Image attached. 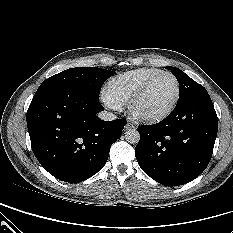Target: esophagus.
Segmentation results:
<instances>
[{"label": "esophagus", "instance_id": "esophagus-1", "mask_svg": "<svg viewBox=\"0 0 233 233\" xmlns=\"http://www.w3.org/2000/svg\"><path fill=\"white\" fill-rule=\"evenodd\" d=\"M135 125L133 123H130V122H127L126 126H125V129L128 130V129H131V128H134Z\"/></svg>", "mask_w": 233, "mask_h": 233}]
</instances>
